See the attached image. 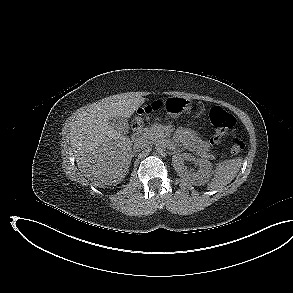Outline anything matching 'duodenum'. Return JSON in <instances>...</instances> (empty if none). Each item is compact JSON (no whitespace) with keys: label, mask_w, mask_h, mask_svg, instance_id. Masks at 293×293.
<instances>
[{"label":"duodenum","mask_w":293,"mask_h":293,"mask_svg":"<svg viewBox=\"0 0 293 293\" xmlns=\"http://www.w3.org/2000/svg\"><path fill=\"white\" fill-rule=\"evenodd\" d=\"M143 140V128L141 126L136 128V131L133 135V142L135 144L141 143Z\"/></svg>","instance_id":"410a0bca"}]
</instances>
